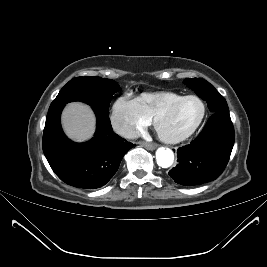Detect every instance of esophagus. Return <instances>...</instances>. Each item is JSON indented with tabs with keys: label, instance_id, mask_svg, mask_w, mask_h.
<instances>
[{
	"label": "esophagus",
	"instance_id": "1",
	"mask_svg": "<svg viewBox=\"0 0 267 267\" xmlns=\"http://www.w3.org/2000/svg\"><path fill=\"white\" fill-rule=\"evenodd\" d=\"M140 144L147 148L148 150H154L156 147H157V144H154V143H147V142H140Z\"/></svg>",
	"mask_w": 267,
	"mask_h": 267
}]
</instances>
